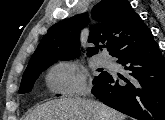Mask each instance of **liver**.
I'll list each match as a JSON object with an SVG mask.
<instances>
[{
    "instance_id": "obj_1",
    "label": "liver",
    "mask_w": 165,
    "mask_h": 120,
    "mask_svg": "<svg viewBox=\"0 0 165 120\" xmlns=\"http://www.w3.org/2000/svg\"><path fill=\"white\" fill-rule=\"evenodd\" d=\"M126 116L98 101L61 98L37 106L26 120H125Z\"/></svg>"
}]
</instances>
